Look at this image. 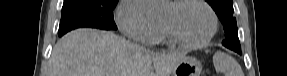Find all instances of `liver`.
<instances>
[{
	"mask_svg": "<svg viewBox=\"0 0 287 76\" xmlns=\"http://www.w3.org/2000/svg\"><path fill=\"white\" fill-rule=\"evenodd\" d=\"M184 57L185 53L140 50L112 32L81 28L57 41L48 76H170Z\"/></svg>",
	"mask_w": 287,
	"mask_h": 76,
	"instance_id": "6515ba94",
	"label": "liver"
}]
</instances>
